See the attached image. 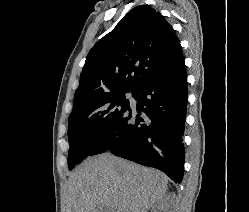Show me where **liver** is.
Returning a JSON list of instances; mask_svg holds the SVG:
<instances>
[{
	"label": "liver",
	"mask_w": 249,
	"mask_h": 212,
	"mask_svg": "<svg viewBox=\"0 0 249 212\" xmlns=\"http://www.w3.org/2000/svg\"><path fill=\"white\" fill-rule=\"evenodd\" d=\"M159 170L100 154L70 174L66 212H148L168 190Z\"/></svg>",
	"instance_id": "1"
}]
</instances>
